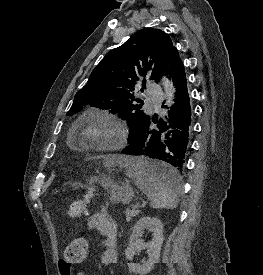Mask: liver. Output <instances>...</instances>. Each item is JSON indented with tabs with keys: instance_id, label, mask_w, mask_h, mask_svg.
I'll return each mask as SVG.
<instances>
[{
	"instance_id": "1",
	"label": "liver",
	"mask_w": 263,
	"mask_h": 275,
	"mask_svg": "<svg viewBox=\"0 0 263 275\" xmlns=\"http://www.w3.org/2000/svg\"><path fill=\"white\" fill-rule=\"evenodd\" d=\"M122 160H123V157L113 155V156H111V157H109V158L107 159V163H109V164H110V163H114V162L121 163Z\"/></svg>"
}]
</instances>
